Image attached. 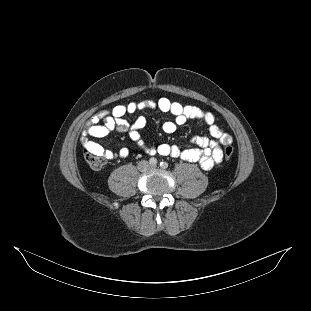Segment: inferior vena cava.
Here are the masks:
<instances>
[{"mask_svg": "<svg viewBox=\"0 0 311 311\" xmlns=\"http://www.w3.org/2000/svg\"><path fill=\"white\" fill-rule=\"evenodd\" d=\"M137 168L142 172H147L150 169V164L145 160H140L137 163Z\"/></svg>", "mask_w": 311, "mask_h": 311, "instance_id": "1", "label": "inferior vena cava"}]
</instances>
